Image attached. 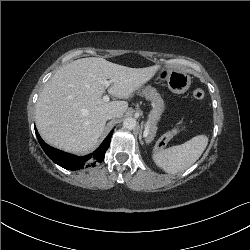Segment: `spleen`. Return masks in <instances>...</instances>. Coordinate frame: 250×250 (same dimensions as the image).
I'll list each match as a JSON object with an SVG mask.
<instances>
[{
  "instance_id": "spleen-1",
  "label": "spleen",
  "mask_w": 250,
  "mask_h": 250,
  "mask_svg": "<svg viewBox=\"0 0 250 250\" xmlns=\"http://www.w3.org/2000/svg\"><path fill=\"white\" fill-rule=\"evenodd\" d=\"M208 144L205 134L197 135L189 141L160 150L153 154L156 165L169 174L185 171L202 155Z\"/></svg>"
}]
</instances>
